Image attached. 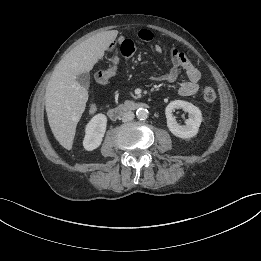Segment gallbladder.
Segmentation results:
<instances>
[{"label":"gallbladder","instance_id":"bac80fb5","mask_svg":"<svg viewBox=\"0 0 261 261\" xmlns=\"http://www.w3.org/2000/svg\"><path fill=\"white\" fill-rule=\"evenodd\" d=\"M77 82L84 88H88L90 85L89 73H81L76 78Z\"/></svg>","mask_w":261,"mask_h":261}]
</instances>
